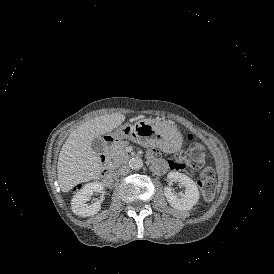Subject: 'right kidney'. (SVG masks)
Returning a JSON list of instances; mask_svg holds the SVG:
<instances>
[{
    "instance_id": "ca27d5eb",
    "label": "right kidney",
    "mask_w": 274,
    "mask_h": 274,
    "mask_svg": "<svg viewBox=\"0 0 274 274\" xmlns=\"http://www.w3.org/2000/svg\"><path fill=\"white\" fill-rule=\"evenodd\" d=\"M98 192L102 196L96 202L88 205L87 202L90 200L92 193ZM105 200L104 196V186L100 182H91L85 185L81 190H79L72 199V210L73 212L81 217H88L95 215L100 207L101 203Z\"/></svg>"
}]
</instances>
